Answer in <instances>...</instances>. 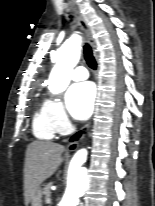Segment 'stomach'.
Returning a JSON list of instances; mask_svg holds the SVG:
<instances>
[{
	"label": "stomach",
	"instance_id": "1",
	"mask_svg": "<svg viewBox=\"0 0 155 206\" xmlns=\"http://www.w3.org/2000/svg\"><path fill=\"white\" fill-rule=\"evenodd\" d=\"M32 206H42V191L40 187L36 190L35 194L31 198Z\"/></svg>",
	"mask_w": 155,
	"mask_h": 206
}]
</instances>
